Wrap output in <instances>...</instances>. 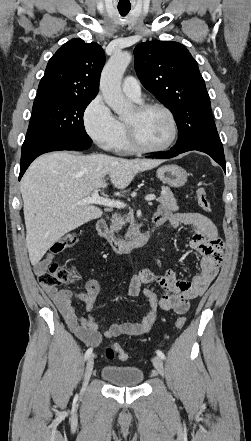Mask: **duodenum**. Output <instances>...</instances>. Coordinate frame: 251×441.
<instances>
[{
  "instance_id": "410a0bca",
  "label": "duodenum",
  "mask_w": 251,
  "mask_h": 441,
  "mask_svg": "<svg viewBox=\"0 0 251 441\" xmlns=\"http://www.w3.org/2000/svg\"><path fill=\"white\" fill-rule=\"evenodd\" d=\"M159 223L153 219L151 227L146 231L139 233L129 240L117 238L109 229L104 219H99L96 224L98 234L104 238L111 248L117 253H128L134 248L142 247L148 243Z\"/></svg>"
}]
</instances>
